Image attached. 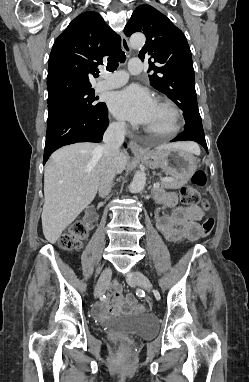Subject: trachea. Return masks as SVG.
<instances>
[{
  "mask_svg": "<svg viewBox=\"0 0 249 382\" xmlns=\"http://www.w3.org/2000/svg\"><path fill=\"white\" fill-rule=\"evenodd\" d=\"M126 56L125 53L119 49L114 54L110 55L108 58L107 71L113 72L118 67V62H125Z\"/></svg>",
  "mask_w": 249,
  "mask_h": 382,
  "instance_id": "1",
  "label": "trachea"
}]
</instances>
